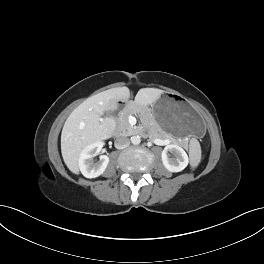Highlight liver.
<instances>
[{"label": "liver", "instance_id": "liver-1", "mask_svg": "<svg viewBox=\"0 0 264 264\" xmlns=\"http://www.w3.org/2000/svg\"><path fill=\"white\" fill-rule=\"evenodd\" d=\"M163 90L140 89L134 103L147 106L156 102ZM130 91L127 87L112 88L86 99L67 118L61 133V153L68 169L79 173V156L88 145L110 138L116 128L113 118L101 116L105 111H113L118 101H128Z\"/></svg>", "mask_w": 264, "mask_h": 264}]
</instances>
